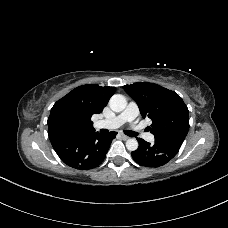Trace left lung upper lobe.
I'll list each match as a JSON object with an SVG mask.
<instances>
[{
  "mask_svg": "<svg viewBox=\"0 0 228 228\" xmlns=\"http://www.w3.org/2000/svg\"><path fill=\"white\" fill-rule=\"evenodd\" d=\"M123 88L138 104L142 117L152 120L150 130L155 138L185 139L189 130L188 108L176 92L147 82Z\"/></svg>",
  "mask_w": 228,
  "mask_h": 228,
  "instance_id": "1",
  "label": "left lung upper lobe"
}]
</instances>
